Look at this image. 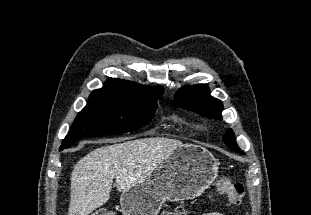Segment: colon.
I'll return each mask as SVG.
<instances>
[{"label": "colon", "instance_id": "5ec220e1", "mask_svg": "<svg viewBox=\"0 0 311 215\" xmlns=\"http://www.w3.org/2000/svg\"><path fill=\"white\" fill-rule=\"evenodd\" d=\"M218 191L228 196L231 204L238 206L242 203L244 197V186L240 183H232L227 177L218 181ZM91 215H114L111 211L100 208L95 210ZM162 215H186L183 207H176L172 210L164 211Z\"/></svg>", "mask_w": 311, "mask_h": 215}]
</instances>
